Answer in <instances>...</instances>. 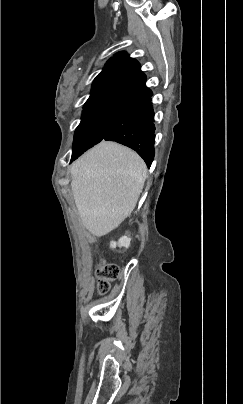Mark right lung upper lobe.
Returning a JSON list of instances; mask_svg holds the SVG:
<instances>
[{
    "instance_id": "1",
    "label": "right lung upper lobe",
    "mask_w": 243,
    "mask_h": 404,
    "mask_svg": "<svg viewBox=\"0 0 243 404\" xmlns=\"http://www.w3.org/2000/svg\"><path fill=\"white\" fill-rule=\"evenodd\" d=\"M139 63L125 52L115 54L95 78L84 107L107 102L129 104L152 94Z\"/></svg>"
}]
</instances>
